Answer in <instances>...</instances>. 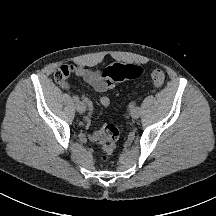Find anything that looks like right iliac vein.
<instances>
[{
  "instance_id": "63e3f726",
  "label": "right iliac vein",
  "mask_w": 216,
  "mask_h": 216,
  "mask_svg": "<svg viewBox=\"0 0 216 216\" xmlns=\"http://www.w3.org/2000/svg\"><path fill=\"white\" fill-rule=\"evenodd\" d=\"M76 110L79 113H84L86 111V105L82 101H79L76 103Z\"/></svg>"
}]
</instances>
